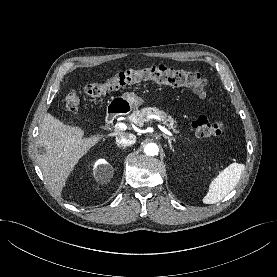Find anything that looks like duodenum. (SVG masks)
I'll return each mask as SVG.
<instances>
[{
	"label": "duodenum",
	"mask_w": 277,
	"mask_h": 277,
	"mask_svg": "<svg viewBox=\"0 0 277 277\" xmlns=\"http://www.w3.org/2000/svg\"><path fill=\"white\" fill-rule=\"evenodd\" d=\"M121 110L118 107L111 108L106 115V123L111 124L119 116Z\"/></svg>",
	"instance_id": "duodenum-1"
}]
</instances>
